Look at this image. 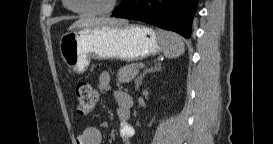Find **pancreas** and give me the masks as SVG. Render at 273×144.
I'll return each instance as SVG.
<instances>
[{
    "instance_id": "obj_1",
    "label": "pancreas",
    "mask_w": 273,
    "mask_h": 144,
    "mask_svg": "<svg viewBox=\"0 0 273 144\" xmlns=\"http://www.w3.org/2000/svg\"><path fill=\"white\" fill-rule=\"evenodd\" d=\"M138 66V63H131L121 67L117 73L118 82L122 84L132 81L138 75Z\"/></svg>"
}]
</instances>
